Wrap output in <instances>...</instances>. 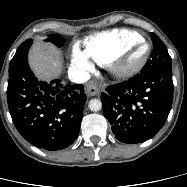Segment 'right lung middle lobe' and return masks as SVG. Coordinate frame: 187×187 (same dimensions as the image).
Returning a JSON list of instances; mask_svg holds the SVG:
<instances>
[{
	"instance_id": "obj_1",
	"label": "right lung middle lobe",
	"mask_w": 187,
	"mask_h": 187,
	"mask_svg": "<svg viewBox=\"0 0 187 187\" xmlns=\"http://www.w3.org/2000/svg\"><path fill=\"white\" fill-rule=\"evenodd\" d=\"M46 41L55 44L57 47H62L65 42V39L58 34H53L49 35Z\"/></svg>"
}]
</instances>
